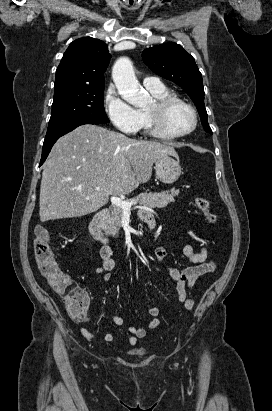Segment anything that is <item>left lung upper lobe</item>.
Listing matches in <instances>:
<instances>
[{
    "mask_svg": "<svg viewBox=\"0 0 272 411\" xmlns=\"http://www.w3.org/2000/svg\"><path fill=\"white\" fill-rule=\"evenodd\" d=\"M144 63L156 74L186 90L193 100L206 132L212 134L204 105L202 75L194 58L176 43L162 44L143 51Z\"/></svg>",
    "mask_w": 272,
    "mask_h": 411,
    "instance_id": "obj_1",
    "label": "left lung upper lobe"
}]
</instances>
